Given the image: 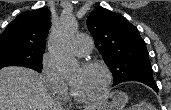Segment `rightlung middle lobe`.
I'll list each match as a JSON object with an SVG mask.
<instances>
[{
  "label": "right lung middle lobe",
  "mask_w": 171,
  "mask_h": 110,
  "mask_svg": "<svg viewBox=\"0 0 171 110\" xmlns=\"http://www.w3.org/2000/svg\"><path fill=\"white\" fill-rule=\"evenodd\" d=\"M43 53L13 43H0V69L25 66L41 72Z\"/></svg>",
  "instance_id": "1"
}]
</instances>
